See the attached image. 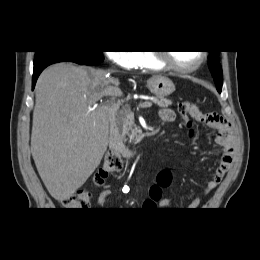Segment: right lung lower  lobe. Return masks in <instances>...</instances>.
<instances>
[{
    "label": "right lung lower lobe",
    "mask_w": 260,
    "mask_h": 260,
    "mask_svg": "<svg viewBox=\"0 0 260 260\" xmlns=\"http://www.w3.org/2000/svg\"><path fill=\"white\" fill-rule=\"evenodd\" d=\"M104 57L101 52H81V51H64L50 52L43 56L40 60L34 62V72L32 79V87L34 88L40 73L47 66L63 61L75 62L81 65L93 66L101 63Z\"/></svg>",
    "instance_id": "98d812e1"
}]
</instances>
